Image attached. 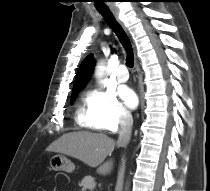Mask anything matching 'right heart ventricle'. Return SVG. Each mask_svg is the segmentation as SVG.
Returning a JSON list of instances; mask_svg holds the SVG:
<instances>
[{
    "mask_svg": "<svg viewBox=\"0 0 210 191\" xmlns=\"http://www.w3.org/2000/svg\"><path fill=\"white\" fill-rule=\"evenodd\" d=\"M77 121L83 127L91 129H100L91 113L87 99H85L83 103L78 107Z\"/></svg>",
    "mask_w": 210,
    "mask_h": 191,
    "instance_id": "obj_1",
    "label": "right heart ventricle"
}]
</instances>
